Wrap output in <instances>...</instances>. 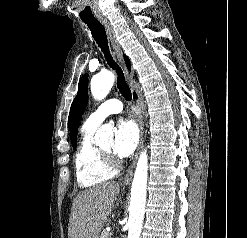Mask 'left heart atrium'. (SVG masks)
I'll use <instances>...</instances> for the list:
<instances>
[{
    "label": "left heart atrium",
    "mask_w": 247,
    "mask_h": 238,
    "mask_svg": "<svg viewBox=\"0 0 247 238\" xmlns=\"http://www.w3.org/2000/svg\"><path fill=\"white\" fill-rule=\"evenodd\" d=\"M138 138L136 124L129 119H120L115 128L114 153L120 157L130 155L137 145Z\"/></svg>",
    "instance_id": "1"
}]
</instances>
